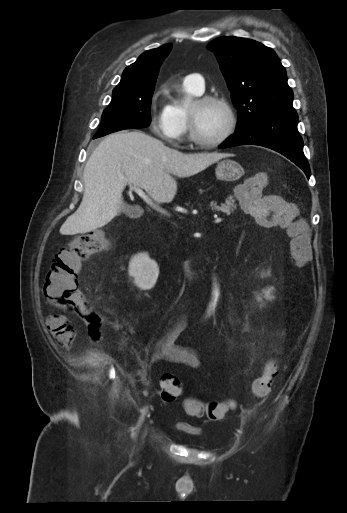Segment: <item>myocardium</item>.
<instances>
[{"instance_id": "myocardium-1", "label": "myocardium", "mask_w": 347, "mask_h": 513, "mask_svg": "<svg viewBox=\"0 0 347 513\" xmlns=\"http://www.w3.org/2000/svg\"><path fill=\"white\" fill-rule=\"evenodd\" d=\"M207 103H215L220 106H222L227 114L228 123L226 126V129L224 132L217 138L213 140H205L199 136V134L196 131L195 123L192 118L191 114V106L193 104H207ZM236 115L234 112L233 107L229 103V101L221 96L217 95H202L194 100V102L188 106L187 109V124H188V132L190 139L192 142H194L196 145H199L204 148H214L219 145H221L223 142H225L235 131L236 128Z\"/></svg>"}]
</instances>
